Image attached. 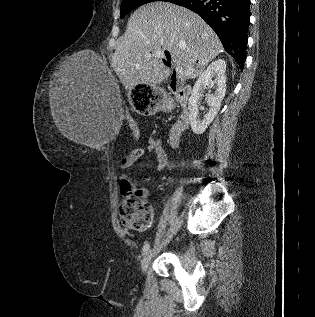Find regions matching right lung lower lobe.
I'll return each mask as SVG.
<instances>
[{
  "label": "right lung lower lobe",
  "mask_w": 315,
  "mask_h": 317,
  "mask_svg": "<svg viewBox=\"0 0 315 317\" xmlns=\"http://www.w3.org/2000/svg\"><path fill=\"white\" fill-rule=\"evenodd\" d=\"M173 3L199 14L243 69L247 54L250 0H176Z\"/></svg>",
  "instance_id": "obj_1"
}]
</instances>
